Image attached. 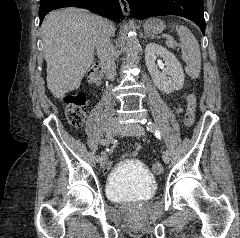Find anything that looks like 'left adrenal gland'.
<instances>
[{
  "mask_svg": "<svg viewBox=\"0 0 240 238\" xmlns=\"http://www.w3.org/2000/svg\"><path fill=\"white\" fill-rule=\"evenodd\" d=\"M148 37H151L152 39L154 38L153 35H151V34H149V33H145L144 39H147Z\"/></svg>",
  "mask_w": 240,
  "mask_h": 238,
  "instance_id": "left-adrenal-gland-1",
  "label": "left adrenal gland"
}]
</instances>
